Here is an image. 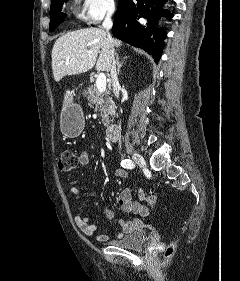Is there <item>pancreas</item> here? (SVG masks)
<instances>
[{
    "label": "pancreas",
    "instance_id": "pancreas-1",
    "mask_svg": "<svg viewBox=\"0 0 240 281\" xmlns=\"http://www.w3.org/2000/svg\"><path fill=\"white\" fill-rule=\"evenodd\" d=\"M83 94L89 101L90 107L95 106L100 109L102 122L104 126H108L111 122L109 115L115 114V104L110 97V92L106 90L103 93H99L96 85H91Z\"/></svg>",
    "mask_w": 240,
    "mask_h": 281
}]
</instances>
